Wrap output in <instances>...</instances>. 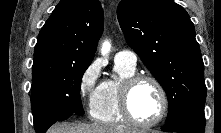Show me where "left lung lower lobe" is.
I'll return each mask as SVG.
<instances>
[{
	"mask_svg": "<svg viewBox=\"0 0 221 133\" xmlns=\"http://www.w3.org/2000/svg\"><path fill=\"white\" fill-rule=\"evenodd\" d=\"M204 104H196L181 112L173 120L161 127L165 132L204 133L205 130Z\"/></svg>",
	"mask_w": 221,
	"mask_h": 133,
	"instance_id": "1",
	"label": "left lung lower lobe"
}]
</instances>
